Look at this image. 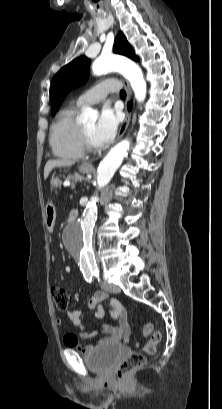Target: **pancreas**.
Segmentation results:
<instances>
[{
	"label": "pancreas",
	"mask_w": 222,
	"mask_h": 409,
	"mask_svg": "<svg viewBox=\"0 0 222 409\" xmlns=\"http://www.w3.org/2000/svg\"><path fill=\"white\" fill-rule=\"evenodd\" d=\"M83 179L84 178L80 176L79 174L69 175L66 178L67 181H70L72 183V186L74 185L75 182L82 181Z\"/></svg>",
	"instance_id": "cf45deb5"
}]
</instances>
